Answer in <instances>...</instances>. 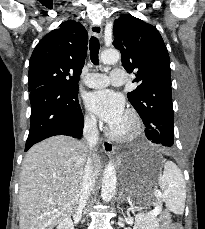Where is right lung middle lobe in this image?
<instances>
[{"label": "right lung middle lobe", "instance_id": "obj_1", "mask_svg": "<svg viewBox=\"0 0 205 229\" xmlns=\"http://www.w3.org/2000/svg\"><path fill=\"white\" fill-rule=\"evenodd\" d=\"M61 84L64 87L71 88V89H73L75 91H78V85H77V83L68 82V81H66V80L63 79V80H61Z\"/></svg>", "mask_w": 205, "mask_h": 229}]
</instances>
